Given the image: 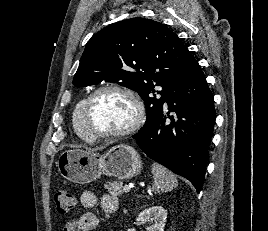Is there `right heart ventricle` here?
<instances>
[{"instance_id":"e07e8e85","label":"right heart ventricle","mask_w":268,"mask_h":231,"mask_svg":"<svg viewBox=\"0 0 268 231\" xmlns=\"http://www.w3.org/2000/svg\"><path fill=\"white\" fill-rule=\"evenodd\" d=\"M85 99H81L75 106L72 112V124L75 133L83 140H91L89 133L87 132L82 116L83 104Z\"/></svg>"}]
</instances>
